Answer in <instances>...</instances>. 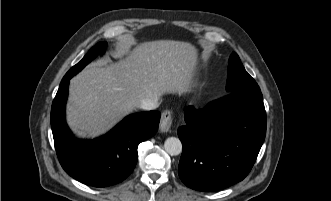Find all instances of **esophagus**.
<instances>
[{"label": "esophagus", "mask_w": 331, "mask_h": 201, "mask_svg": "<svg viewBox=\"0 0 331 201\" xmlns=\"http://www.w3.org/2000/svg\"><path fill=\"white\" fill-rule=\"evenodd\" d=\"M172 112L170 110L163 111L161 115L159 130L163 133L168 132L172 125Z\"/></svg>", "instance_id": "1"}]
</instances>
